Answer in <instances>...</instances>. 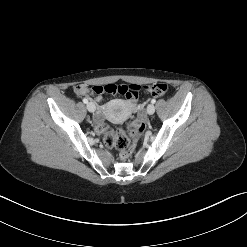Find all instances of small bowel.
Wrapping results in <instances>:
<instances>
[{
  "label": "small bowel",
  "mask_w": 247,
  "mask_h": 247,
  "mask_svg": "<svg viewBox=\"0 0 247 247\" xmlns=\"http://www.w3.org/2000/svg\"><path fill=\"white\" fill-rule=\"evenodd\" d=\"M92 89L88 88L85 85H78L75 88V92L79 97L86 96L89 98H93L95 103L100 104L102 101V96H101L102 93L95 95L92 92ZM128 108L131 112L141 111V107L139 105H132L130 102H128ZM104 111H105V108L103 106H99L97 114L95 116V122L97 124L98 129L102 126Z\"/></svg>",
  "instance_id": "obj_1"
}]
</instances>
